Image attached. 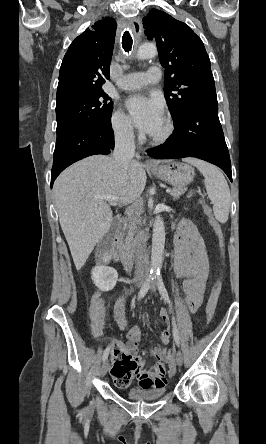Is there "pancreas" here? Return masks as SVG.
Instances as JSON below:
<instances>
[{"label": "pancreas", "mask_w": 266, "mask_h": 444, "mask_svg": "<svg viewBox=\"0 0 266 444\" xmlns=\"http://www.w3.org/2000/svg\"><path fill=\"white\" fill-rule=\"evenodd\" d=\"M184 192H185L184 188H176V189H173L170 194L174 199H178L179 196H181ZM133 235H134V227L130 226L129 231H128V238L131 239L133 237Z\"/></svg>", "instance_id": "obj_1"}]
</instances>
